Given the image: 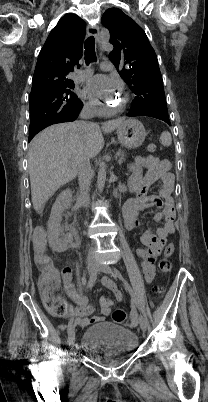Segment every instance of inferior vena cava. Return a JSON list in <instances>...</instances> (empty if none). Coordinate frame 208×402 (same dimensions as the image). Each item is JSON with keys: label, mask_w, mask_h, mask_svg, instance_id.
Masks as SVG:
<instances>
[{"label": "inferior vena cava", "mask_w": 208, "mask_h": 402, "mask_svg": "<svg viewBox=\"0 0 208 402\" xmlns=\"http://www.w3.org/2000/svg\"><path fill=\"white\" fill-rule=\"evenodd\" d=\"M92 116L93 106H90V104H85L82 112H80V120L79 122H77L80 130H86V128L92 126V124H87V122H85V120H89V118H92ZM77 160L80 186L79 202L80 204H82V206H85V208H87L89 204L91 178L94 174L93 170H91L87 148H83V150H80L77 156Z\"/></svg>", "instance_id": "602c4592"}]
</instances>
